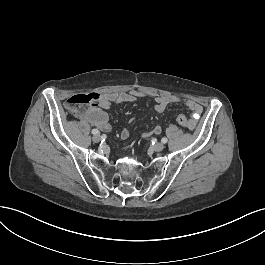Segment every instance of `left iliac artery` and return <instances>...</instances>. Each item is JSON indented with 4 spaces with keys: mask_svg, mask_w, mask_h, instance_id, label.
<instances>
[{
    "mask_svg": "<svg viewBox=\"0 0 265 265\" xmlns=\"http://www.w3.org/2000/svg\"><path fill=\"white\" fill-rule=\"evenodd\" d=\"M167 141H168V140H167V138H165V137L161 139V142H162V143H167Z\"/></svg>",
    "mask_w": 265,
    "mask_h": 265,
    "instance_id": "1",
    "label": "left iliac artery"
}]
</instances>
